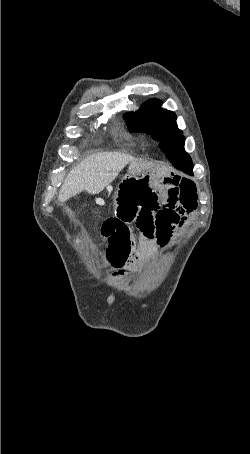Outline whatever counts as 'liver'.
<instances>
[{"instance_id":"obj_1","label":"liver","mask_w":250,"mask_h":454,"mask_svg":"<svg viewBox=\"0 0 250 454\" xmlns=\"http://www.w3.org/2000/svg\"><path fill=\"white\" fill-rule=\"evenodd\" d=\"M132 162L138 161L120 152H101L88 156L67 175L59 192V201L63 203L82 191L93 195L100 193Z\"/></svg>"}]
</instances>
